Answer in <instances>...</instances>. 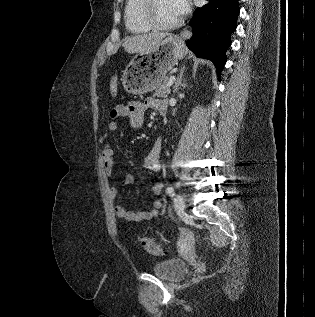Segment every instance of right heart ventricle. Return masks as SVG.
<instances>
[{
  "label": "right heart ventricle",
  "instance_id": "e07e8e85",
  "mask_svg": "<svg viewBox=\"0 0 315 317\" xmlns=\"http://www.w3.org/2000/svg\"><path fill=\"white\" fill-rule=\"evenodd\" d=\"M143 2L144 0H126L124 22L127 30L131 33H145L152 29L142 18Z\"/></svg>",
  "mask_w": 315,
  "mask_h": 317
}]
</instances>
